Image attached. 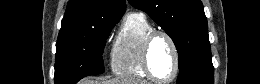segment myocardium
<instances>
[{
    "label": "myocardium",
    "mask_w": 260,
    "mask_h": 84,
    "mask_svg": "<svg viewBox=\"0 0 260 84\" xmlns=\"http://www.w3.org/2000/svg\"><path fill=\"white\" fill-rule=\"evenodd\" d=\"M162 36L168 40L170 43L173 54H174V71L170 78L162 80L155 76V74L152 71L151 64H150V52H151V46L153 41L156 37ZM142 66L144 71L146 72L147 76L153 80L156 83L160 84H168L173 82L180 71V53L179 49L177 47V44L173 37L164 30L159 29H152L144 38L143 44H142Z\"/></svg>",
    "instance_id": "myocardium-1"
}]
</instances>
